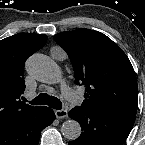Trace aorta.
<instances>
[{"mask_svg": "<svg viewBox=\"0 0 145 145\" xmlns=\"http://www.w3.org/2000/svg\"><path fill=\"white\" fill-rule=\"evenodd\" d=\"M26 69L35 79L47 84L56 83L61 74L57 64L52 59L39 53L32 55L27 60ZM81 132L80 124L73 119L64 121L61 126L62 135L69 140L77 139Z\"/></svg>", "mask_w": 145, "mask_h": 145, "instance_id": "aorta-1", "label": "aorta"}]
</instances>
